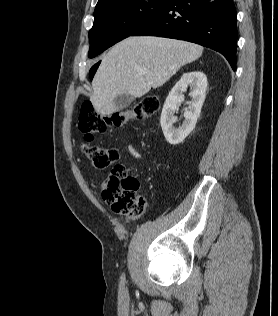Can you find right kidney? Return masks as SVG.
<instances>
[{
	"label": "right kidney",
	"mask_w": 278,
	"mask_h": 316,
	"mask_svg": "<svg viewBox=\"0 0 278 316\" xmlns=\"http://www.w3.org/2000/svg\"><path fill=\"white\" fill-rule=\"evenodd\" d=\"M190 86L192 98L188 108L184 112L185 120L179 128L173 124L177 121L174 113L178 110L177 104L184 101L183 93ZM207 89V77L201 71L184 73L181 79L171 89L164 103L161 113V127L167 142L171 145L181 143L195 128L200 115L205 93Z\"/></svg>",
	"instance_id": "right-kidney-1"
}]
</instances>
